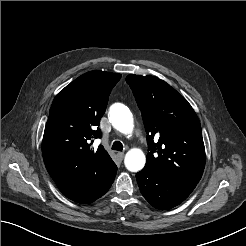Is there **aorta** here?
Instances as JSON below:
<instances>
[{"mask_svg": "<svg viewBox=\"0 0 246 246\" xmlns=\"http://www.w3.org/2000/svg\"><path fill=\"white\" fill-rule=\"evenodd\" d=\"M109 120L113 127L123 134H129L133 131V116L128 107L124 104L116 103L110 107ZM145 163L146 157L141 149H130L125 155V167L131 172L140 171Z\"/></svg>", "mask_w": 246, "mask_h": 246, "instance_id": "762f6f07", "label": "aorta"}]
</instances>
